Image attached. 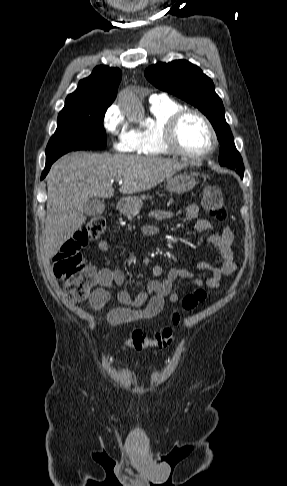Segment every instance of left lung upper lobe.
<instances>
[{
    "label": "left lung upper lobe",
    "mask_w": 287,
    "mask_h": 486,
    "mask_svg": "<svg viewBox=\"0 0 287 486\" xmlns=\"http://www.w3.org/2000/svg\"><path fill=\"white\" fill-rule=\"evenodd\" d=\"M144 75L157 88L189 102L207 116L221 144L220 165L236 169L242 176V158L235 147L232 132L225 120L222 100L216 94L212 80L199 67L186 60L159 62L149 66Z\"/></svg>",
    "instance_id": "obj_1"
}]
</instances>
